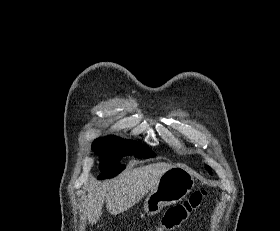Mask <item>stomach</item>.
Here are the masks:
<instances>
[{
	"mask_svg": "<svg viewBox=\"0 0 280 231\" xmlns=\"http://www.w3.org/2000/svg\"><path fill=\"white\" fill-rule=\"evenodd\" d=\"M195 185V179L188 169L173 165L161 175L156 187L151 189L144 201V211L148 215L158 213L164 205L178 203Z\"/></svg>",
	"mask_w": 280,
	"mask_h": 231,
	"instance_id": "0dacf381",
	"label": "stomach"
}]
</instances>
